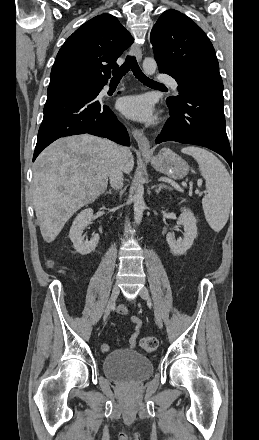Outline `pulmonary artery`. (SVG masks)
I'll list each match as a JSON object with an SVG mask.
<instances>
[{
    "mask_svg": "<svg viewBox=\"0 0 259 440\" xmlns=\"http://www.w3.org/2000/svg\"><path fill=\"white\" fill-rule=\"evenodd\" d=\"M158 79H159V81L170 85L173 90L178 89V83L173 77L168 76V75H162V76L158 77ZM108 90H109V88L107 87L105 89V91H108Z\"/></svg>",
    "mask_w": 259,
    "mask_h": 440,
    "instance_id": "pulmonary-artery-1",
    "label": "pulmonary artery"
}]
</instances>
